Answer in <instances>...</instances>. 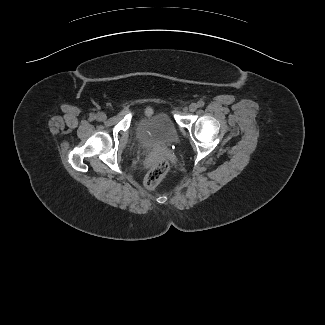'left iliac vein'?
Listing matches in <instances>:
<instances>
[{
	"instance_id": "left-iliac-vein-1",
	"label": "left iliac vein",
	"mask_w": 325,
	"mask_h": 325,
	"mask_svg": "<svg viewBox=\"0 0 325 325\" xmlns=\"http://www.w3.org/2000/svg\"><path fill=\"white\" fill-rule=\"evenodd\" d=\"M197 108H198V106H197L196 103H192V104H190V106H189V110H190V112H195V111L197 110Z\"/></svg>"
}]
</instances>
